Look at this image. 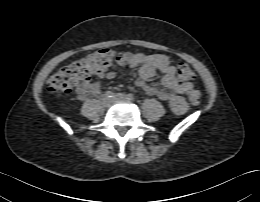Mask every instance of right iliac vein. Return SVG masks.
<instances>
[{"instance_id":"obj_1","label":"right iliac vein","mask_w":260,"mask_h":202,"mask_svg":"<svg viewBox=\"0 0 260 202\" xmlns=\"http://www.w3.org/2000/svg\"><path fill=\"white\" fill-rule=\"evenodd\" d=\"M112 102H113V97L105 96L102 99V103H103L104 106H109Z\"/></svg>"}]
</instances>
